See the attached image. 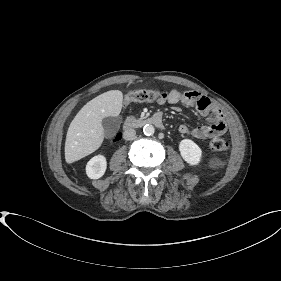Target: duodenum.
Wrapping results in <instances>:
<instances>
[{
  "mask_svg": "<svg viewBox=\"0 0 281 281\" xmlns=\"http://www.w3.org/2000/svg\"><path fill=\"white\" fill-rule=\"evenodd\" d=\"M148 124H153L159 129H165V124L160 114H155L151 117L143 118V119H128L124 123L123 129L128 130L131 128H141Z\"/></svg>",
  "mask_w": 281,
  "mask_h": 281,
  "instance_id": "obj_1",
  "label": "duodenum"
}]
</instances>
